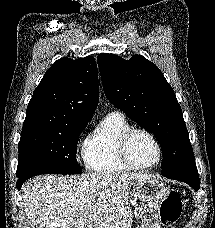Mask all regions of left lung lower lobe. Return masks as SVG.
Listing matches in <instances>:
<instances>
[{
    "label": "left lung lower lobe",
    "mask_w": 215,
    "mask_h": 228,
    "mask_svg": "<svg viewBox=\"0 0 215 228\" xmlns=\"http://www.w3.org/2000/svg\"><path fill=\"white\" fill-rule=\"evenodd\" d=\"M163 176L169 179L185 182L189 184L195 191H198L200 188L199 176L196 165L182 168L170 174H163Z\"/></svg>",
    "instance_id": "1"
}]
</instances>
